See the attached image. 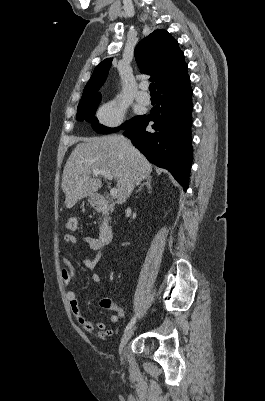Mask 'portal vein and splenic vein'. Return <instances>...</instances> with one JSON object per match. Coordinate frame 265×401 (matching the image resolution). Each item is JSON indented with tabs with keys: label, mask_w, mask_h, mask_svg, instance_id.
<instances>
[{
	"label": "portal vein and splenic vein",
	"mask_w": 265,
	"mask_h": 401,
	"mask_svg": "<svg viewBox=\"0 0 265 401\" xmlns=\"http://www.w3.org/2000/svg\"><path fill=\"white\" fill-rule=\"evenodd\" d=\"M92 174L93 176H98V174H103V176H105V178H108V180H112L113 178L112 174H110L108 170H99V168H94V170H92ZM110 194H112V196H116L117 188H111Z\"/></svg>",
	"instance_id": "18ae733b"
}]
</instances>
